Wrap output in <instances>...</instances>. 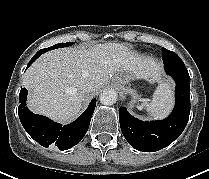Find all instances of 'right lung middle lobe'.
<instances>
[{"label":"right lung middle lobe","instance_id":"dd1d6c3e","mask_svg":"<svg viewBox=\"0 0 209 179\" xmlns=\"http://www.w3.org/2000/svg\"><path fill=\"white\" fill-rule=\"evenodd\" d=\"M73 43H59V44H56V45H53L49 48H45V49H41L39 50V52H42V53H45L49 50H53V49H56V48H60V47H67V46H71Z\"/></svg>","mask_w":209,"mask_h":179}]
</instances>
